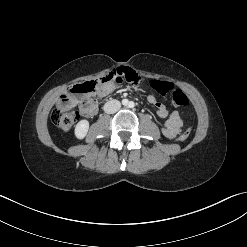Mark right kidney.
Returning <instances> with one entry per match:
<instances>
[{"instance_id":"right-kidney-1","label":"right kidney","mask_w":247,"mask_h":247,"mask_svg":"<svg viewBox=\"0 0 247 247\" xmlns=\"http://www.w3.org/2000/svg\"><path fill=\"white\" fill-rule=\"evenodd\" d=\"M88 129H89V122L87 120H81L77 123V125L75 126V136L77 139H83L87 133H88Z\"/></svg>"}]
</instances>
